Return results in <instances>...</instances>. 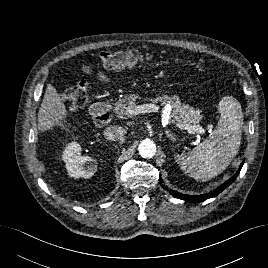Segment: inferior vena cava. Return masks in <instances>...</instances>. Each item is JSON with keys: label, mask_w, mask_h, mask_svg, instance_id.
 Masks as SVG:
<instances>
[{"label": "inferior vena cava", "mask_w": 268, "mask_h": 268, "mask_svg": "<svg viewBox=\"0 0 268 268\" xmlns=\"http://www.w3.org/2000/svg\"><path fill=\"white\" fill-rule=\"evenodd\" d=\"M124 133L125 129L120 126H110L104 131V135L108 140H119Z\"/></svg>", "instance_id": "1"}]
</instances>
